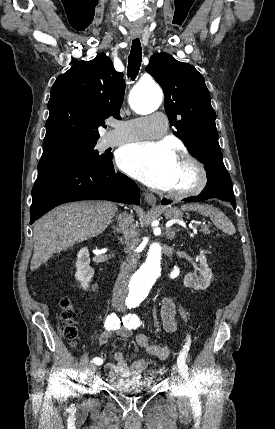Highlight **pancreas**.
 <instances>
[{
    "label": "pancreas",
    "mask_w": 275,
    "mask_h": 429,
    "mask_svg": "<svg viewBox=\"0 0 275 429\" xmlns=\"http://www.w3.org/2000/svg\"><path fill=\"white\" fill-rule=\"evenodd\" d=\"M201 231L203 232V234H210V230L208 228H202Z\"/></svg>",
    "instance_id": "pancreas-1"
}]
</instances>
